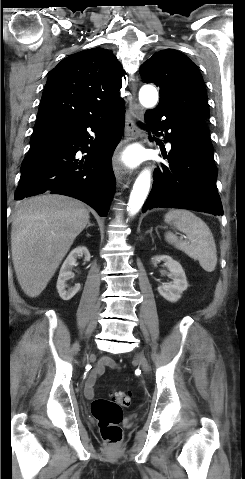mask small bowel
<instances>
[{
    "label": "small bowel",
    "mask_w": 245,
    "mask_h": 479,
    "mask_svg": "<svg viewBox=\"0 0 245 479\" xmlns=\"http://www.w3.org/2000/svg\"><path fill=\"white\" fill-rule=\"evenodd\" d=\"M117 369L118 366L114 360L110 357H104L100 360L99 364L94 368L93 372L87 378L85 384V394L89 398H93L95 395V385L97 378L102 375L105 368Z\"/></svg>",
    "instance_id": "c3829d8e"
}]
</instances>
